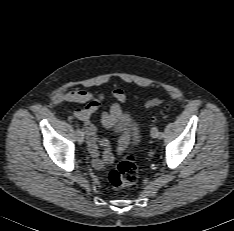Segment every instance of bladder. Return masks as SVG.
I'll use <instances>...</instances> for the list:
<instances>
[{"label": "bladder", "mask_w": 234, "mask_h": 231, "mask_svg": "<svg viewBox=\"0 0 234 231\" xmlns=\"http://www.w3.org/2000/svg\"><path fill=\"white\" fill-rule=\"evenodd\" d=\"M128 122H129V125H130V131H131V141H133L134 143H137L138 142V128L135 124V122L133 121L132 118H128Z\"/></svg>", "instance_id": "bladder-1"}]
</instances>
